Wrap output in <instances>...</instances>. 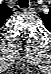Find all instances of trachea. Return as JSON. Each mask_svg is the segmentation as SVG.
I'll return each instance as SVG.
<instances>
[{
    "label": "trachea",
    "instance_id": "trachea-1",
    "mask_svg": "<svg viewBox=\"0 0 51 74\" xmlns=\"http://www.w3.org/2000/svg\"><path fill=\"white\" fill-rule=\"evenodd\" d=\"M19 6L20 8H27L29 6L27 0H19Z\"/></svg>",
    "mask_w": 51,
    "mask_h": 74
}]
</instances>
